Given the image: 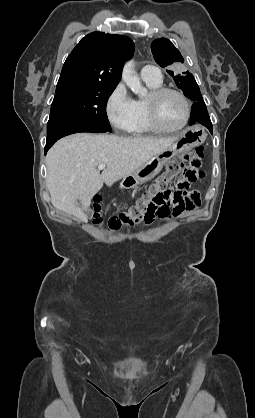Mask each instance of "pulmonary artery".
I'll list each match as a JSON object with an SVG mask.
<instances>
[{
	"instance_id": "obj_1",
	"label": "pulmonary artery",
	"mask_w": 255,
	"mask_h": 418,
	"mask_svg": "<svg viewBox=\"0 0 255 418\" xmlns=\"http://www.w3.org/2000/svg\"><path fill=\"white\" fill-rule=\"evenodd\" d=\"M141 77L144 81L159 82L162 80L160 70L152 65H146L141 69Z\"/></svg>"
}]
</instances>
